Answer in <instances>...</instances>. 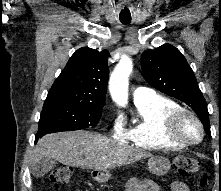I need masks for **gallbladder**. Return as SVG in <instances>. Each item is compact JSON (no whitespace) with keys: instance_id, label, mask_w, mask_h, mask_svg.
Masks as SVG:
<instances>
[{"instance_id":"1","label":"gallbladder","mask_w":221,"mask_h":191,"mask_svg":"<svg viewBox=\"0 0 221 191\" xmlns=\"http://www.w3.org/2000/svg\"><path fill=\"white\" fill-rule=\"evenodd\" d=\"M55 165L56 162L54 160L49 158H44L33 166L32 174L37 178L42 177L45 174H47L49 171H51Z\"/></svg>"}]
</instances>
